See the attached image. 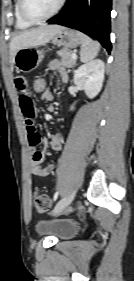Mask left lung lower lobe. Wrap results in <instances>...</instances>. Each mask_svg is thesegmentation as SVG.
I'll list each match as a JSON object with an SVG mask.
<instances>
[{
	"instance_id": "left-lung-lower-lobe-1",
	"label": "left lung lower lobe",
	"mask_w": 134,
	"mask_h": 281,
	"mask_svg": "<svg viewBox=\"0 0 134 281\" xmlns=\"http://www.w3.org/2000/svg\"><path fill=\"white\" fill-rule=\"evenodd\" d=\"M112 0H67L63 11L49 24H59L94 36L110 53V12Z\"/></svg>"
}]
</instances>
